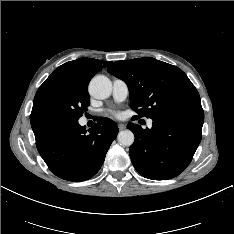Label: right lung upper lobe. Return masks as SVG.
I'll return each instance as SVG.
<instances>
[{
  "mask_svg": "<svg viewBox=\"0 0 234 234\" xmlns=\"http://www.w3.org/2000/svg\"><path fill=\"white\" fill-rule=\"evenodd\" d=\"M111 62H104L93 58H79L64 63L55 69L45 82L39 87L33 102V107L39 97L49 88L66 84L74 87L88 88L90 79L103 67L110 65ZM30 117H33L32 115Z\"/></svg>",
  "mask_w": 234,
  "mask_h": 234,
  "instance_id": "obj_1",
  "label": "right lung upper lobe"
}]
</instances>
